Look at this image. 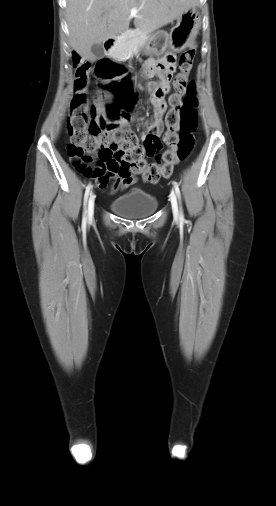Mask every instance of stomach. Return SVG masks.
<instances>
[{
    "mask_svg": "<svg viewBox=\"0 0 276 506\" xmlns=\"http://www.w3.org/2000/svg\"><path fill=\"white\" fill-rule=\"evenodd\" d=\"M177 24L168 34L158 31L141 47L144 55L161 56L168 48L178 53L186 49L195 39L201 19L195 7L186 9L177 18Z\"/></svg>",
    "mask_w": 276,
    "mask_h": 506,
    "instance_id": "1",
    "label": "stomach"
}]
</instances>
